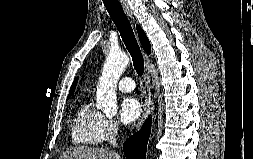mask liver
I'll return each instance as SVG.
<instances>
[{"label": "liver", "mask_w": 253, "mask_h": 159, "mask_svg": "<svg viewBox=\"0 0 253 159\" xmlns=\"http://www.w3.org/2000/svg\"><path fill=\"white\" fill-rule=\"evenodd\" d=\"M59 159H121V156L106 149L78 146L64 152Z\"/></svg>", "instance_id": "obj_1"}]
</instances>
